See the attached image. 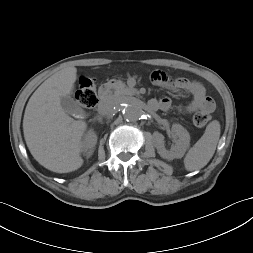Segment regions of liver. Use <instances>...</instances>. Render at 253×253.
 <instances>
[{"label": "liver", "mask_w": 253, "mask_h": 253, "mask_svg": "<svg viewBox=\"0 0 253 253\" xmlns=\"http://www.w3.org/2000/svg\"><path fill=\"white\" fill-rule=\"evenodd\" d=\"M77 69L66 67L46 79L30 97L23 118L27 147L46 169L68 173L79 169L87 123L74 120L61 107L60 97L74 89Z\"/></svg>", "instance_id": "liver-1"}]
</instances>
